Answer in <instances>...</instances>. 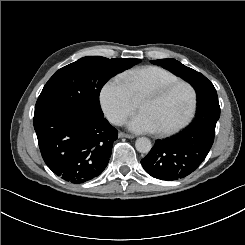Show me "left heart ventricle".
Returning <instances> with one entry per match:
<instances>
[{
  "label": "left heart ventricle",
  "mask_w": 245,
  "mask_h": 245,
  "mask_svg": "<svg viewBox=\"0 0 245 245\" xmlns=\"http://www.w3.org/2000/svg\"><path fill=\"white\" fill-rule=\"evenodd\" d=\"M191 97L186 87H178L162 100L152 94L136 103L139 112H146L158 130L172 128L184 119L190 108Z\"/></svg>",
  "instance_id": "1"
}]
</instances>
